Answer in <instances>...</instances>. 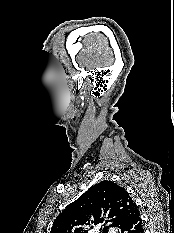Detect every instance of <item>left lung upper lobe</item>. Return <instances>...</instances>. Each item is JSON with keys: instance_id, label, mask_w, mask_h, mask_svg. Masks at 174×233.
I'll use <instances>...</instances> for the list:
<instances>
[{"instance_id": "5c2ea615", "label": "left lung upper lobe", "mask_w": 174, "mask_h": 233, "mask_svg": "<svg viewBox=\"0 0 174 233\" xmlns=\"http://www.w3.org/2000/svg\"><path fill=\"white\" fill-rule=\"evenodd\" d=\"M138 212L129 193L112 181H101L90 187L54 220L50 233H88L100 226L119 228Z\"/></svg>"}]
</instances>
